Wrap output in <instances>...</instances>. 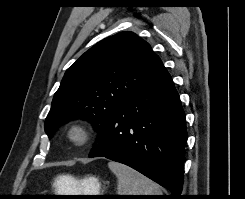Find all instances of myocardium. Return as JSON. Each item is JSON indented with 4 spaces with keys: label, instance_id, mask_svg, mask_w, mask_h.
Listing matches in <instances>:
<instances>
[{
    "label": "myocardium",
    "instance_id": "myocardium-1",
    "mask_svg": "<svg viewBox=\"0 0 245 199\" xmlns=\"http://www.w3.org/2000/svg\"><path fill=\"white\" fill-rule=\"evenodd\" d=\"M92 129L81 121L70 123L66 128L67 140L76 147L86 146L92 140Z\"/></svg>",
    "mask_w": 245,
    "mask_h": 199
}]
</instances>
